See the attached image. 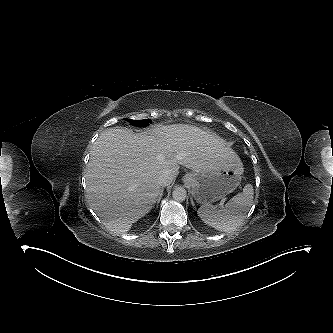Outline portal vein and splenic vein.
<instances>
[{"instance_id": "obj_1", "label": "portal vein and splenic vein", "mask_w": 333, "mask_h": 333, "mask_svg": "<svg viewBox=\"0 0 333 333\" xmlns=\"http://www.w3.org/2000/svg\"><path fill=\"white\" fill-rule=\"evenodd\" d=\"M220 205H221V206L223 205V201L220 203Z\"/></svg>"}]
</instances>
